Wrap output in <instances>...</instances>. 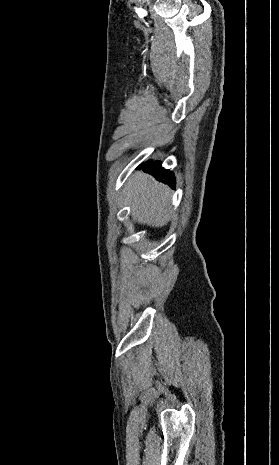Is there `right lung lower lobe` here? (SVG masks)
<instances>
[{"instance_id":"1","label":"right lung lower lobe","mask_w":279,"mask_h":465,"mask_svg":"<svg viewBox=\"0 0 279 465\" xmlns=\"http://www.w3.org/2000/svg\"><path fill=\"white\" fill-rule=\"evenodd\" d=\"M138 169H143V171L150 173L157 180H160L165 184L171 185L172 187L175 185V177L173 173L162 168L160 162H153L150 165H141Z\"/></svg>"}]
</instances>
